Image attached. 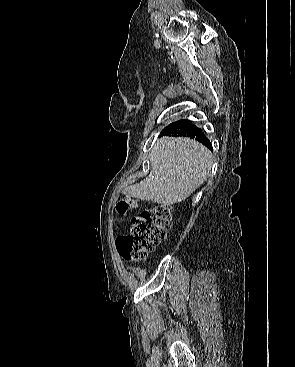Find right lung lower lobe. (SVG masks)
Wrapping results in <instances>:
<instances>
[{"instance_id":"98d812e1","label":"right lung lower lobe","mask_w":295,"mask_h":367,"mask_svg":"<svg viewBox=\"0 0 295 367\" xmlns=\"http://www.w3.org/2000/svg\"><path fill=\"white\" fill-rule=\"evenodd\" d=\"M160 135H168L173 137L186 136L199 141L207 148L212 150L210 141L204 136L201 129L196 127L191 121L184 119L173 122L164 128Z\"/></svg>"}]
</instances>
